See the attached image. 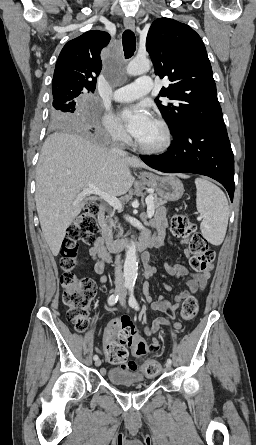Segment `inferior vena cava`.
Listing matches in <instances>:
<instances>
[{
    "instance_id": "inferior-vena-cava-1",
    "label": "inferior vena cava",
    "mask_w": 256,
    "mask_h": 445,
    "mask_svg": "<svg viewBox=\"0 0 256 445\" xmlns=\"http://www.w3.org/2000/svg\"><path fill=\"white\" fill-rule=\"evenodd\" d=\"M112 140H113V142H114V148H113V150H115V151H117V152H122V150L118 149V148L115 146V142H116V140H117V134L112 135ZM120 257H121V256H120L119 254L116 255V259H115L116 267H115V281H114V284H115V287H116V290H117V291L125 292V288H124V276H123V273H122V267H121Z\"/></svg>"
}]
</instances>
